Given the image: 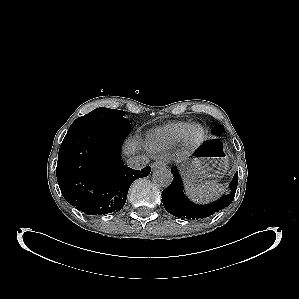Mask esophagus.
Listing matches in <instances>:
<instances>
[{
  "instance_id": "1",
  "label": "esophagus",
  "mask_w": 299,
  "mask_h": 299,
  "mask_svg": "<svg viewBox=\"0 0 299 299\" xmlns=\"http://www.w3.org/2000/svg\"><path fill=\"white\" fill-rule=\"evenodd\" d=\"M166 166H167L166 160H157L152 164L153 169L162 168Z\"/></svg>"
}]
</instances>
